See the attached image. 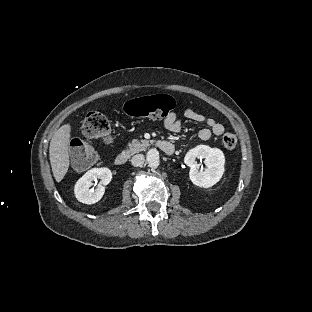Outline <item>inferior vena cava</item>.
<instances>
[{
	"label": "inferior vena cava",
	"mask_w": 312,
	"mask_h": 312,
	"mask_svg": "<svg viewBox=\"0 0 312 312\" xmlns=\"http://www.w3.org/2000/svg\"><path fill=\"white\" fill-rule=\"evenodd\" d=\"M144 161H145L144 155L138 154L131 159V164L134 167H140L143 165Z\"/></svg>",
	"instance_id": "inferior-vena-cava-1"
}]
</instances>
